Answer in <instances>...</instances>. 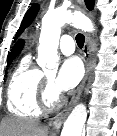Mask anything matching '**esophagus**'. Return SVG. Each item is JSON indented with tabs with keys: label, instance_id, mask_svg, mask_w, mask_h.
<instances>
[{
	"label": "esophagus",
	"instance_id": "34e87169",
	"mask_svg": "<svg viewBox=\"0 0 117 136\" xmlns=\"http://www.w3.org/2000/svg\"><path fill=\"white\" fill-rule=\"evenodd\" d=\"M77 3L84 8V0H77ZM83 58L85 63V75L79 84V86L74 91L71 100L69 101L68 105L55 117V121L52 125V134L57 135L60 130V126L62 121L67 117L73 106L78 102L81 97L82 91L85 87L87 82L89 73H90V66H91V38L88 34L85 36V44L83 47Z\"/></svg>",
	"mask_w": 117,
	"mask_h": 136
}]
</instances>
